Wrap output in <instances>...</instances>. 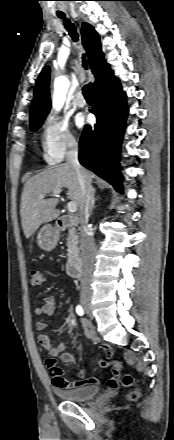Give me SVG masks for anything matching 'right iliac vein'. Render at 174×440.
Instances as JSON below:
<instances>
[{
  "mask_svg": "<svg viewBox=\"0 0 174 440\" xmlns=\"http://www.w3.org/2000/svg\"><path fill=\"white\" fill-rule=\"evenodd\" d=\"M83 307H84V309H85V311H86L87 313H90V312H91V307H90L89 304L84 303V304H83Z\"/></svg>",
  "mask_w": 174,
  "mask_h": 440,
  "instance_id": "obj_1",
  "label": "right iliac vein"
}]
</instances>
